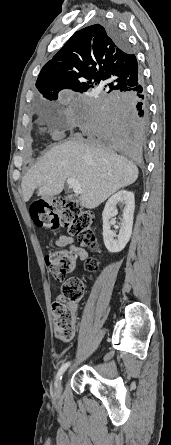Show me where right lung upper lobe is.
Instances as JSON below:
<instances>
[{
    "label": "right lung upper lobe",
    "instance_id": "right-lung-upper-lobe-1",
    "mask_svg": "<svg viewBox=\"0 0 171 445\" xmlns=\"http://www.w3.org/2000/svg\"><path fill=\"white\" fill-rule=\"evenodd\" d=\"M142 82L137 59L126 46H119L105 26L95 24L77 31L47 62L36 87L49 100L69 88L86 92L105 83L107 93H125Z\"/></svg>",
    "mask_w": 171,
    "mask_h": 445
}]
</instances>
